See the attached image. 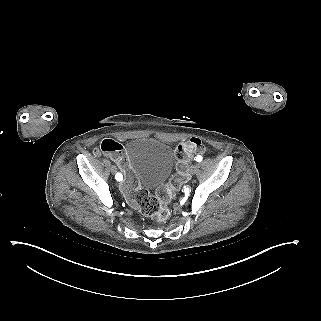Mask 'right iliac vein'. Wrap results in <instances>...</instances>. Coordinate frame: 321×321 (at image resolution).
Instances as JSON below:
<instances>
[{
  "mask_svg": "<svg viewBox=\"0 0 321 321\" xmlns=\"http://www.w3.org/2000/svg\"><path fill=\"white\" fill-rule=\"evenodd\" d=\"M111 173L112 174L116 173V168L114 166L111 167Z\"/></svg>",
  "mask_w": 321,
  "mask_h": 321,
  "instance_id": "right-iliac-vein-1",
  "label": "right iliac vein"
}]
</instances>
